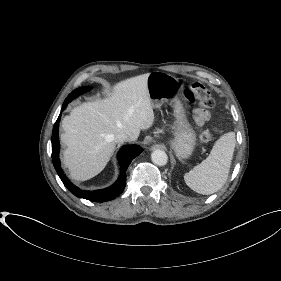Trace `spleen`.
<instances>
[{"instance_id":"1","label":"spleen","mask_w":281,"mask_h":281,"mask_svg":"<svg viewBox=\"0 0 281 281\" xmlns=\"http://www.w3.org/2000/svg\"><path fill=\"white\" fill-rule=\"evenodd\" d=\"M235 145L233 132L222 135L209 156L184 175L185 183L203 195L213 194L222 188L230 171Z\"/></svg>"}]
</instances>
